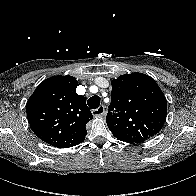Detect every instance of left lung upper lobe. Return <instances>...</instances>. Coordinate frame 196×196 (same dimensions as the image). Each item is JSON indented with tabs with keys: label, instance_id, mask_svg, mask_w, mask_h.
<instances>
[{
	"label": "left lung upper lobe",
	"instance_id": "obj_1",
	"mask_svg": "<svg viewBox=\"0 0 196 196\" xmlns=\"http://www.w3.org/2000/svg\"><path fill=\"white\" fill-rule=\"evenodd\" d=\"M111 84L106 120L113 135L131 144L157 134L166 119L167 101L156 81L148 75L132 73L121 75Z\"/></svg>",
	"mask_w": 196,
	"mask_h": 196
}]
</instances>
